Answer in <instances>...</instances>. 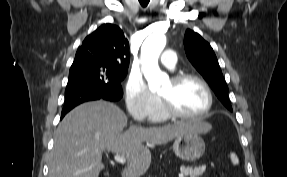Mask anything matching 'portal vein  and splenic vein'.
I'll return each instance as SVG.
<instances>
[{"instance_id": "1", "label": "portal vein and splenic vein", "mask_w": 287, "mask_h": 177, "mask_svg": "<svg viewBox=\"0 0 287 177\" xmlns=\"http://www.w3.org/2000/svg\"><path fill=\"white\" fill-rule=\"evenodd\" d=\"M114 160L117 162V163H120V164H125L126 163V158L123 156V155H119V154H115L114 155ZM185 175L184 174H179V177H184Z\"/></svg>"}]
</instances>
